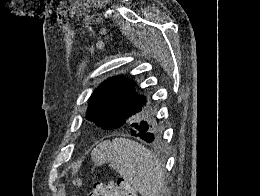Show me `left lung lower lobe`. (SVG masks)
Returning <instances> with one entry per match:
<instances>
[{
  "mask_svg": "<svg viewBox=\"0 0 260 196\" xmlns=\"http://www.w3.org/2000/svg\"><path fill=\"white\" fill-rule=\"evenodd\" d=\"M134 113V110L129 107L113 106L105 112L99 119L100 123L104 125H119L128 120ZM131 135L140 137L145 142L151 143L153 135L145 124L133 125L131 128Z\"/></svg>",
  "mask_w": 260,
  "mask_h": 196,
  "instance_id": "1",
  "label": "left lung lower lobe"
}]
</instances>
